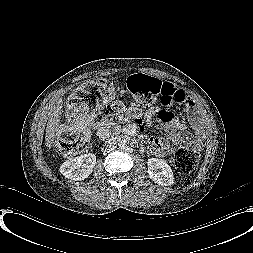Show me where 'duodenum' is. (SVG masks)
I'll return each mask as SVG.
<instances>
[{
	"mask_svg": "<svg viewBox=\"0 0 253 253\" xmlns=\"http://www.w3.org/2000/svg\"><path fill=\"white\" fill-rule=\"evenodd\" d=\"M127 138H128L127 136H123V137L120 138V139H119V138H118V139H115L113 143L116 144V143H118L119 141H122V140L127 139Z\"/></svg>",
	"mask_w": 253,
	"mask_h": 253,
	"instance_id": "obj_1",
	"label": "duodenum"
}]
</instances>
